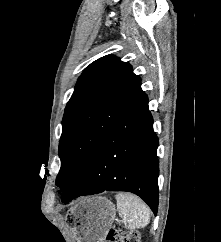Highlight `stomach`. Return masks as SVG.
<instances>
[{
	"mask_svg": "<svg viewBox=\"0 0 221 242\" xmlns=\"http://www.w3.org/2000/svg\"><path fill=\"white\" fill-rule=\"evenodd\" d=\"M70 229L77 242H103L116 217L114 204L105 197L81 199L70 209Z\"/></svg>",
	"mask_w": 221,
	"mask_h": 242,
	"instance_id": "1",
	"label": "stomach"
}]
</instances>
